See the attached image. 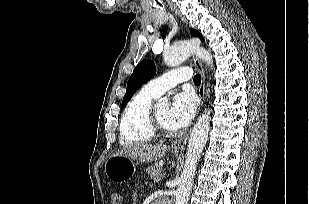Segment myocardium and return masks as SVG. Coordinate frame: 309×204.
<instances>
[{"label":"myocardium","mask_w":309,"mask_h":204,"mask_svg":"<svg viewBox=\"0 0 309 204\" xmlns=\"http://www.w3.org/2000/svg\"><path fill=\"white\" fill-rule=\"evenodd\" d=\"M148 124L149 127L151 128V130L155 133V134H168L170 133V129L163 126L156 115L155 109L150 107L149 113H148Z\"/></svg>","instance_id":"myocardium-1"}]
</instances>
